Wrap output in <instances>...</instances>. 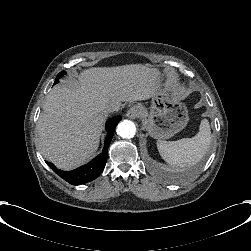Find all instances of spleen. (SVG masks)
<instances>
[{
	"instance_id": "spleen-1",
	"label": "spleen",
	"mask_w": 251,
	"mask_h": 251,
	"mask_svg": "<svg viewBox=\"0 0 251 251\" xmlns=\"http://www.w3.org/2000/svg\"><path fill=\"white\" fill-rule=\"evenodd\" d=\"M211 143V128L207 119H202L199 132L192 138L177 141H157L161 157L173 166H193L206 154Z\"/></svg>"
}]
</instances>
